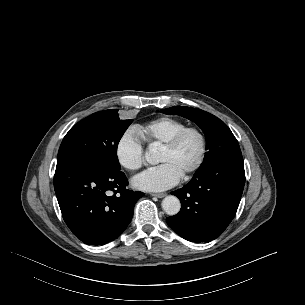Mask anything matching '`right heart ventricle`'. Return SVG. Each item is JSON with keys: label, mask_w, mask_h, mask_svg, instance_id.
Here are the masks:
<instances>
[{"label": "right heart ventricle", "mask_w": 305, "mask_h": 305, "mask_svg": "<svg viewBox=\"0 0 305 305\" xmlns=\"http://www.w3.org/2000/svg\"><path fill=\"white\" fill-rule=\"evenodd\" d=\"M187 123L172 117H159L137 127L138 135L150 147H162Z\"/></svg>", "instance_id": "right-heart-ventricle-1"}]
</instances>
